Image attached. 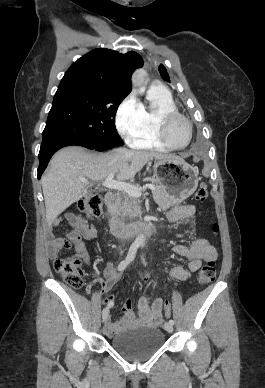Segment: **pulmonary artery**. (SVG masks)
Wrapping results in <instances>:
<instances>
[{
    "mask_svg": "<svg viewBox=\"0 0 265 388\" xmlns=\"http://www.w3.org/2000/svg\"><path fill=\"white\" fill-rule=\"evenodd\" d=\"M162 88H163L164 90H167V89L169 88V85H168L167 83H164V84L162 85Z\"/></svg>",
    "mask_w": 265,
    "mask_h": 388,
    "instance_id": "e3ab8cb5",
    "label": "pulmonary artery"
}]
</instances>
